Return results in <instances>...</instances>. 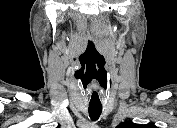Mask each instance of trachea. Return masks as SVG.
<instances>
[{"mask_svg":"<svg viewBox=\"0 0 177 128\" xmlns=\"http://www.w3.org/2000/svg\"><path fill=\"white\" fill-rule=\"evenodd\" d=\"M89 116L92 121H96L99 119L101 112H102V106H90L89 105Z\"/></svg>","mask_w":177,"mask_h":128,"instance_id":"1","label":"trachea"}]
</instances>
